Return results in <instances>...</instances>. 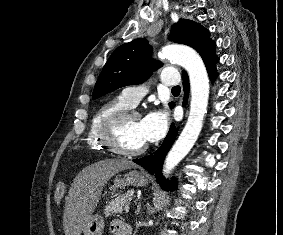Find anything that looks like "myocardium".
<instances>
[{
	"instance_id": "obj_1",
	"label": "myocardium",
	"mask_w": 283,
	"mask_h": 235,
	"mask_svg": "<svg viewBox=\"0 0 283 235\" xmlns=\"http://www.w3.org/2000/svg\"><path fill=\"white\" fill-rule=\"evenodd\" d=\"M132 117L140 118V114L130 108L121 110L109 116L101 125L99 131L100 139L105 147L112 153L120 156L133 157L141 155L147 150V143L143 144L138 149L128 150L122 148L117 142V132L119 128L126 120Z\"/></svg>"
}]
</instances>
